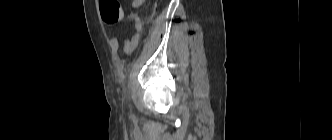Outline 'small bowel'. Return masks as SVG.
Masks as SVG:
<instances>
[{"instance_id":"small-bowel-1","label":"small bowel","mask_w":332,"mask_h":140,"mask_svg":"<svg viewBox=\"0 0 332 140\" xmlns=\"http://www.w3.org/2000/svg\"><path fill=\"white\" fill-rule=\"evenodd\" d=\"M144 2L145 0H131V5L133 8H139L144 4ZM138 43H139V32L138 30H136L131 37L125 39L123 44L124 52L127 55H131L137 48ZM110 46L113 50H118L119 39L117 37H112L110 40Z\"/></svg>"}]
</instances>
